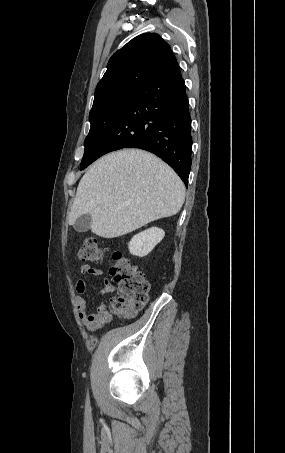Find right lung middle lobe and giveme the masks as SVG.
<instances>
[{"label": "right lung middle lobe", "instance_id": "dd1d6c3e", "mask_svg": "<svg viewBox=\"0 0 285 453\" xmlns=\"http://www.w3.org/2000/svg\"><path fill=\"white\" fill-rule=\"evenodd\" d=\"M138 91L127 92L92 107L89 120L90 131L85 139V152L82 158L80 170L86 168L97 159L99 150L119 118L135 98Z\"/></svg>", "mask_w": 285, "mask_h": 453}]
</instances>
